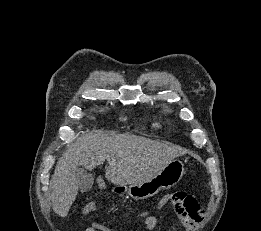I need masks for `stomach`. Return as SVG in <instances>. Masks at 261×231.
<instances>
[{"instance_id":"0dacf381","label":"stomach","mask_w":261,"mask_h":231,"mask_svg":"<svg viewBox=\"0 0 261 231\" xmlns=\"http://www.w3.org/2000/svg\"><path fill=\"white\" fill-rule=\"evenodd\" d=\"M185 173L184 164L179 159H173L163 170L151 179L134 183L129 187L117 185L113 188L116 193H125L135 200L146 199L156 195L160 190L169 189L176 185Z\"/></svg>"}]
</instances>
